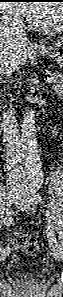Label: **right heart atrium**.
<instances>
[{
    "instance_id": "right-heart-atrium-1",
    "label": "right heart atrium",
    "mask_w": 63,
    "mask_h": 297,
    "mask_svg": "<svg viewBox=\"0 0 63 297\" xmlns=\"http://www.w3.org/2000/svg\"><path fill=\"white\" fill-rule=\"evenodd\" d=\"M3 13H4L5 17L9 20L20 21V19H21V13L15 8L5 7L3 9Z\"/></svg>"
}]
</instances>
